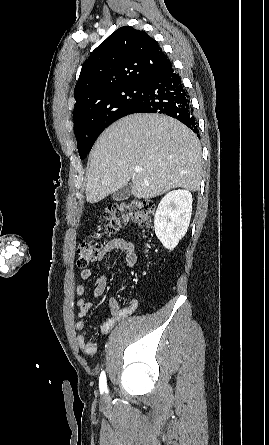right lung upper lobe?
I'll return each instance as SVG.
<instances>
[{"mask_svg":"<svg viewBox=\"0 0 269 445\" xmlns=\"http://www.w3.org/2000/svg\"><path fill=\"white\" fill-rule=\"evenodd\" d=\"M168 62L158 43L145 31L131 26L117 29L83 64L74 90L75 110L91 98L122 86L146 84Z\"/></svg>","mask_w":269,"mask_h":445,"instance_id":"right-lung-upper-lobe-1","label":"right lung upper lobe"}]
</instances>
